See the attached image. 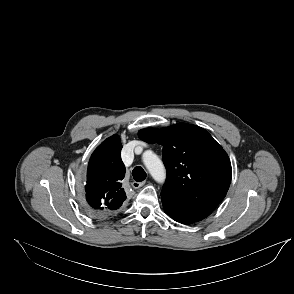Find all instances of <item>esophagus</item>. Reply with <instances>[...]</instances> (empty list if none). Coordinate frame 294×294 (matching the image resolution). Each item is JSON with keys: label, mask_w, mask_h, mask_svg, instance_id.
Wrapping results in <instances>:
<instances>
[{"label": "esophagus", "mask_w": 294, "mask_h": 294, "mask_svg": "<svg viewBox=\"0 0 294 294\" xmlns=\"http://www.w3.org/2000/svg\"><path fill=\"white\" fill-rule=\"evenodd\" d=\"M144 184H145V181H142V182L133 181L131 183V185L134 189H138V188L142 187Z\"/></svg>", "instance_id": "1"}]
</instances>
